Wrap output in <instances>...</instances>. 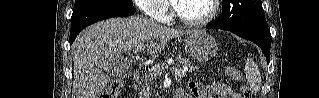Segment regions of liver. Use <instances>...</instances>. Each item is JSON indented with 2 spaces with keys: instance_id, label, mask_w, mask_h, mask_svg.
<instances>
[{
  "instance_id": "liver-1",
  "label": "liver",
  "mask_w": 319,
  "mask_h": 98,
  "mask_svg": "<svg viewBox=\"0 0 319 98\" xmlns=\"http://www.w3.org/2000/svg\"><path fill=\"white\" fill-rule=\"evenodd\" d=\"M191 32L134 16L112 18L88 27L72 45V98H98L110 79L109 73L113 72L107 63L112 60L115 63L121 53L152 40L148 52L156 55L171 39Z\"/></svg>"
}]
</instances>
